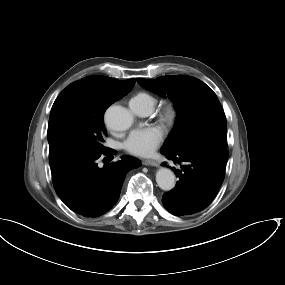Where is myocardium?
Returning a JSON list of instances; mask_svg holds the SVG:
<instances>
[{"mask_svg":"<svg viewBox=\"0 0 285 285\" xmlns=\"http://www.w3.org/2000/svg\"><path fill=\"white\" fill-rule=\"evenodd\" d=\"M177 117L178 111L171 103L165 104L159 111V120L166 127H172L176 123Z\"/></svg>","mask_w":285,"mask_h":285,"instance_id":"1","label":"myocardium"}]
</instances>
